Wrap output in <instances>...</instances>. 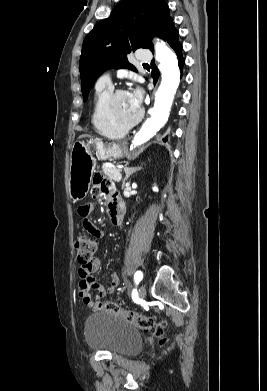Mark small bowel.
<instances>
[{"mask_svg":"<svg viewBox=\"0 0 267 391\" xmlns=\"http://www.w3.org/2000/svg\"><path fill=\"white\" fill-rule=\"evenodd\" d=\"M92 194L95 197H103L108 202V209L112 221L117 217H121L122 221L124 218V204L117 194L114 184L104 177L101 173H96L92 180ZM93 209L92 204L86 203L82 204L78 208V214L82 219L83 227L88 235L94 237H101L103 232L90 220V214ZM115 223V222H114ZM100 267V260L98 258H94L91 263L84 267L81 266L78 270L79 275V283H78V295L82 301V303L91 307L93 304V300L90 295V290H96L97 294L95 299L104 298L116 290L119 284V277L116 273L111 275V282L108 286H102L98 280L92 276L94 272H96Z\"/></svg>","mask_w":267,"mask_h":391,"instance_id":"1","label":"small bowel"}]
</instances>
